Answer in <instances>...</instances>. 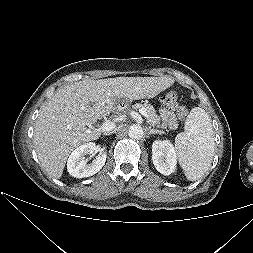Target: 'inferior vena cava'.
<instances>
[{"label":"inferior vena cava","mask_w":253,"mask_h":253,"mask_svg":"<svg viewBox=\"0 0 253 253\" xmlns=\"http://www.w3.org/2000/svg\"><path fill=\"white\" fill-rule=\"evenodd\" d=\"M116 130H114L113 132H109L108 134L114 133Z\"/></svg>","instance_id":"1"}]
</instances>
